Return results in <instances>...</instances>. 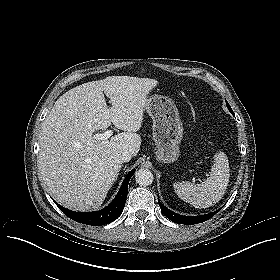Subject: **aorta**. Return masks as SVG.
Segmentation results:
<instances>
[{
    "label": "aorta",
    "mask_w": 280,
    "mask_h": 280,
    "mask_svg": "<svg viewBox=\"0 0 280 280\" xmlns=\"http://www.w3.org/2000/svg\"><path fill=\"white\" fill-rule=\"evenodd\" d=\"M135 180L140 186H148L153 182V174L150 170L141 168L136 171Z\"/></svg>",
    "instance_id": "1"
}]
</instances>
